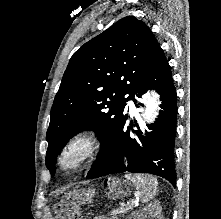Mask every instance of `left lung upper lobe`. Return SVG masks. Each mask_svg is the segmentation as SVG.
<instances>
[{"mask_svg":"<svg viewBox=\"0 0 221 219\" xmlns=\"http://www.w3.org/2000/svg\"><path fill=\"white\" fill-rule=\"evenodd\" d=\"M158 49L149 27L127 16L73 54L55 96L46 135V166L52 176L55 158L80 131H95L101 154Z\"/></svg>","mask_w":221,"mask_h":219,"instance_id":"5c2ea615","label":"left lung upper lobe"}]
</instances>
